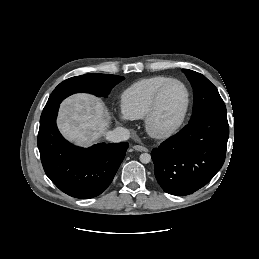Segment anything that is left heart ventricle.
<instances>
[{
	"mask_svg": "<svg viewBox=\"0 0 259 259\" xmlns=\"http://www.w3.org/2000/svg\"><path fill=\"white\" fill-rule=\"evenodd\" d=\"M186 102V93L179 83L169 84L162 92L154 124L159 129L173 125L180 117Z\"/></svg>",
	"mask_w": 259,
	"mask_h": 259,
	"instance_id": "obj_1",
	"label": "left heart ventricle"
}]
</instances>
